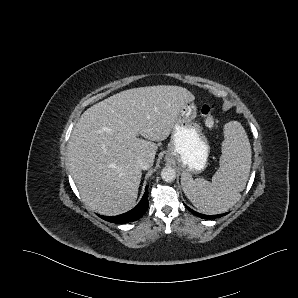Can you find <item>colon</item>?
I'll list each match as a JSON object with an SVG mask.
<instances>
[{
    "instance_id": "5ec220e1",
    "label": "colon",
    "mask_w": 298,
    "mask_h": 298,
    "mask_svg": "<svg viewBox=\"0 0 298 298\" xmlns=\"http://www.w3.org/2000/svg\"><path fill=\"white\" fill-rule=\"evenodd\" d=\"M201 114L204 117L205 123L209 128H216L218 126L217 119L213 116L212 107L209 104H204L201 107Z\"/></svg>"
}]
</instances>
